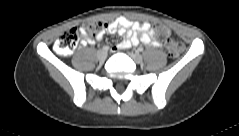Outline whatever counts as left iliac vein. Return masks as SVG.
<instances>
[{"instance_id": "obj_1", "label": "left iliac vein", "mask_w": 239, "mask_h": 136, "mask_svg": "<svg viewBox=\"0 0 239 136\" xmlns=\"http://www.w3.org/2000/svg\"><path fill=\"white\" fill-rule=\"evenodd\" d=\"M129 55L134 62H136V63H142L143 62V57L139 53L130 52Z\"/></svg>"}]
</instances>
